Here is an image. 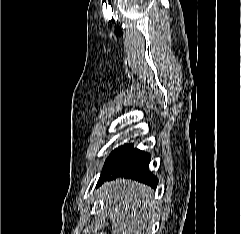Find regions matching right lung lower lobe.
Segmentation results:
<instances>
[{
  "instance_id": "98d812e1",
  "label": "right lung lower lobe",
  "mask_w": 241,
  "mask_h": 234,
  "mask_svg": "<svg viewBox=\"0 0 241 234\" xmlns=\"http://www.w3.org/2000/svg\"><path fill=\"white\" fill-rule=\"evenodd\" d=\"M150 154L135 149L133 144L121 146L109 155L103 167L97 186L117 177L131 178L152 187L157 186V178L148 171Z\"/></svg>"
}]
</instances>
